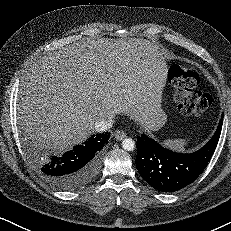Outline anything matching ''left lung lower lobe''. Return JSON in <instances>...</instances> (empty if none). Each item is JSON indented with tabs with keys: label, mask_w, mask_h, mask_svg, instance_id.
I'll return each mask as SVG.
<instances>
[{
	"label": "left lung lower lobe",
	"mask_w": 231,
	"mask_h": 231,
	"mask_svg": "<svg viewBox=\"0 0 231 231\" xmlns=\"http://www.w3.org/2000/svg\"><path fill=\"white\" fill-rule=\"evenodd\" d=\"M223 115L214 136L194 153H176L141 134L137 138L136 167L141 177L152 187L162 192L178 191L203 172L219 141Z\"/></svg>",
	"instance_id": "1"
}]
</instances>
